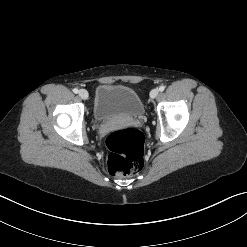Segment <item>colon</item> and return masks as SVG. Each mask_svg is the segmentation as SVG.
Here are the masks:
<instances>
[{
	"label": "colon",
	"instance_id": "colon-1",
	"mask_svg": "<svg viewBox=\"0 0 247 247\" xmlns=\"http://www.w3.org/2000/svg\"><path fill=\"white\" fill-rule=\"evenodd\" d=\"M108 149L107 169L116 177H129L143 167L144 136L135 128L111 131L105 139Z\"/></svg>",
	"mask_w": 247,
	"mask_h": 247
}]
</instances>
